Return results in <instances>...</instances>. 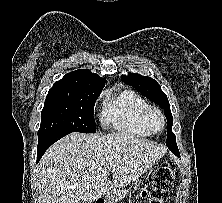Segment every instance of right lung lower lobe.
Wrapping results in <instances>:
<instances>
[{"label":"right lung lower lobe","instance_id":"right-lung-lower-lobe-1","mask_svg":"<svg viewBox=\"0 0 222 203\" xmlns=\"http://www.w3.org/2000/svg\"><path fill=\"white\" fill-rule=\"evenodd\" d=\"M69 133L63 134H50L47 136H43L38 138V152H37V162L41 159L45 151L60 138L66 136Z\"/></svg>","mask_w":222,"mask_h":203}]
</instances>
